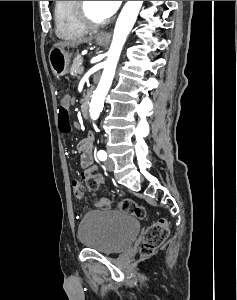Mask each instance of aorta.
<instances>
[{
    "label": "aorta",
    "instance_id": "762f6f07",
    "mask_svg": "<svg viewBox=\"0 0 237 300\" xmlns=\"http://www.w3.org/2000/svg\"><path fill=\"white\" fill-rule=\"evenodd\" d=\"M142 5L143 1H128L117 19L108 59L105 61L102 77L89 105V113L93 121L98 119L104 107V99L112 85L123 45L126 43V39L136 23Z\"/></svg>",
    "mask_w": 237,
    "mask_h": 300
}]
</instances>
